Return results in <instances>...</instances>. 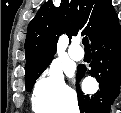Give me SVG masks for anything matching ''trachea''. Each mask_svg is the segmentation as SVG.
I'll return each mask as SVG.
<instances>
[{"instance_id":"3493384b","label":"trachea","mask_w":121,"mask_h":113,"mask_svg":"<svg viewBox=\"0 0 121 113\" xmlns=\"http://www.w3.org/2000/svg\"><path fill=\"white\" fill-rule=\"evenodd\" d=\"M82 43H83V45L85 46V49H90V47H89V40H88L87 37H84V38L82 39Z\"/></svg>"}]
</instances>
